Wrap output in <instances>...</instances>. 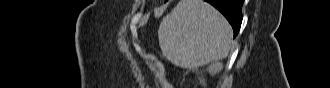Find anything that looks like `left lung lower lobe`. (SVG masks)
<instances>
[{
	"label": "left lung lower lobe",
	"instance_id": "1",
	"mask_svg": "<svg viewBox=\"0 0 330 88\" xmlns=\"http://www.w3.org/2000/svg\"><path fill=\"white\" fill-rule=\"evenodd\" d=\"M167 1V0H165ZM217 8L229 21L234 31V38L237 36L241 22V8L244 0H205Z\"/></svg>",
	"mask_w": 330,
	"mask_h": 88
}]
</instances>
